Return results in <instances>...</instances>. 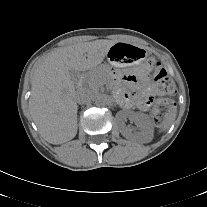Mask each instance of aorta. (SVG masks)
I'll use <instances>...</instances> for the list:
<instances>
[{"mask_svg":"<svg viewBox=\"0 0 207 207\" xmlns=\"http://www.w3.org/2000/svg\"><path fill=\"white\" fill-rule=\"evenodd\" d=\"M107 102H108V99H107V96L105 95H100L95 100V104L99 107L105 106Z\"/></svg>","mask_w":207,"mask_h":207,"instance_id":"762f6f07","label":"aorta"}]
</instances>
